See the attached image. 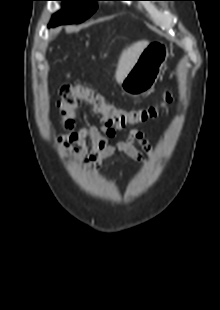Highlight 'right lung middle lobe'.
<instances>
[{
	"label": "right lung middle lobe",
	"mask_w": 220,
	"mask_h": 310,
	"mask_svg": "<svg viewBox=\"0 0 220 310\" xmlns=\"http://www.w3.org/2000/svg\"><path fill=\"white\" fill-rule=\"evenodd\" d=\"M60 1L64 2L63 8L53 16L49 26L83 22L96 11L97 5L94 2L100 0Z\"/></svg>",
	"instance_id": "1"
}]
</instances>
